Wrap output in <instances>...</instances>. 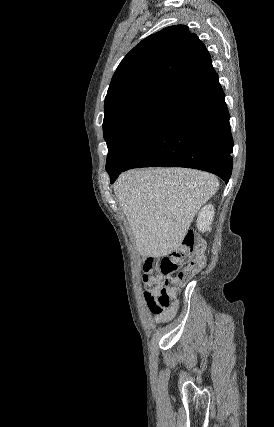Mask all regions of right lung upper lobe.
<instances>
[{
  "label": "right lung upper lobe",
  "instance_id": "1",
  "mask_svg": "<svg viewBox=\"0 0 274 427\" xmlns=\"http://www.w3.org/2000/svg\"><path fill=\"white\" fill-rule=\"evenodd\" d=\"M217 76L211 57L196 34L175 25L150 35L121 61L105 98V112L145 95L162 94L175 100Z\"/></svg>",
  "mask_w": 274,
  "mask_h": 427
}]
</instances>
